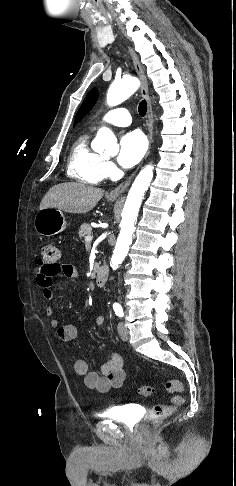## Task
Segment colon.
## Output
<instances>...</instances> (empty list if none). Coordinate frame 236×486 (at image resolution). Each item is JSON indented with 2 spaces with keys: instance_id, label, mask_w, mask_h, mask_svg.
<instances>
[{
  "instance_id": "1",
  "label": "colon",
  "mask_w": 236,
  "mask_h": 486,
  "mask_svg": "<svg viewBox=\"0 0 236 486\" xmlns=\"http://www.w3.org/2000/svg\"><path fill=\"white\" fill-rule=\"evenodd\" d=\"M59 258L60 250L55 244L47 243L43 245L41 249L40 263L47 270H52L54 267H56L58 265ZM166 390L168 393L174 394L171 399V403L168 405L158 404L152 407L145 425V429L147 431L170 417L174 411L185 402L184 386L180 381L171 380L167 382ZM152 392L153 389L150 386L144 385L138 388V394L141 397H149Z\"/></svg>"
}]
</instances>
